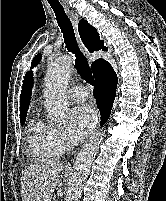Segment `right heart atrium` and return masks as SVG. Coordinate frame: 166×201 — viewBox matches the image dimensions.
<instances>
[{
	"label": "right heart atrium",
	"mask_w": 166,
	"mask_h": 201,
	"mask_svg": "<svg viewBox=\"0 0 166 201\" xmlns=\"http://www.w3.org/2000/svg\"><path fill=\"white\" fill-rule=\"evenodd\" d=\"M55 140H56L57 146L61 150V152L69 149L71 146V141L68 137L67 132L64 129L56 128Z\"/></svg>",
	"instance_id": "right-heart-atrium-1"
}]
</instances>
